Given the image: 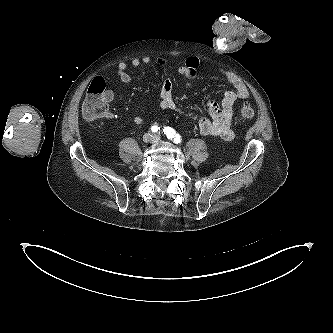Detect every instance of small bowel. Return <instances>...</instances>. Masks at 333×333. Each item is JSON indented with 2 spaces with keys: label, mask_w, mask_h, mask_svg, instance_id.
<instances>
[{
  "label": "small bowel",
  "mask_w": 333,
  "mask_h": 333,
  "mask_svg": "<svg viewBox=\"0 0 333 333\" xmlns=\"http://www.w3.org/2000/svg\"><path fill=\"white\" fill-rule=\"evenodd\" d=\"M158 65H165L166 60L162 58H150L148 56L142 58H133L129 63L120 62L117 66V75L120 81L124 84L131 82V76L128 69L139 68L143 65L150 63ZM200 65V61L196 57L187 58L184 63L178 67L179 74L192 78L197 75V71ZM220 74L231 84L233 89L227 90L220 104L214 100H209L206 103V108L210 119L199 116L189 111L183 110L176 102L173 92L172 84L169 79L164 80L160 91L159 108L162 110H173L185 114L196 121L201 134L209 137H218L224 140H231L234 138V132L232 130V119L234 113V104L238 99H246L249 96V91L244 82L235 74L221 70ZM105 99L107 103L112 102L115 99V93L113 90L108 89L105 91ZM106 119H113L115 115L112 112H107ZM135 124H142L144 117L137 115L133 119Z\"/></svg>",
  "instance_id": "obj_1"
}]
</instances>
